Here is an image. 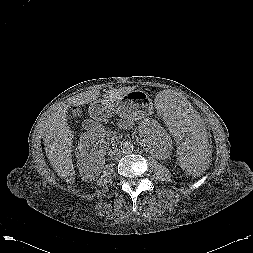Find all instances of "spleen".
Here are the masks:
<instances>
[{
  "mask_svg": "<svg viewBox=\"0 0 253 253\" xmlns=\"http://www.w3.org/2000/svg\"><path fill=\"white\" fill-rule=\"evenodd\" d=\"M154 107L160 121L173 134L182 168L193 174L204 171L210 163L213 146L196 105L168 90L157 96Z\"/></svg>",
  "mask_w": 253,
  "mask_h": 253,
  "instance_id": "obj_1",
  "label": "spleen"
}]
</instances>
